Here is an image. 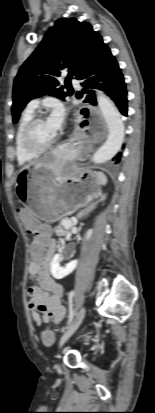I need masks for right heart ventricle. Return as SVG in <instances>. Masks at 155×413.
Listing matches in <instances>:
<instances>
[{"label":"right heart ventricle","mask_w":155,"mask_h":413,"mask_svg":"<svg viewBox=\"0 0 155 413\" xmlns=\"http://www.w3.org/2000/svg\"><path fill=\"white\" fill-rule=\"evenodd\" d=\"M34 117V111L26 109L20 117L15 134V153L20 165L27 164L35 159V155L28 153L22 141V135L26 124Z\"/></svg>","instance_id":"e07e8e85"}]
</instances>
